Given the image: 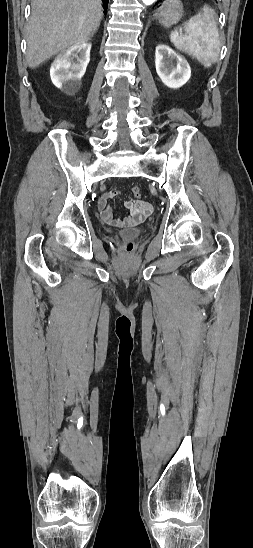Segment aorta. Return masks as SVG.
I'll return each instance as SVG.
<instances>
[{
  "label": "aorta",
  "instance_id": "762f6f07",
  "mask_svg": "<svg viewBox=\"0 0 253 548\" xmlns=\"http://www.w3.org/2000/svg\"><path fill=\"white\" fill-rule=\"evenodd\" d=\"M142 2H143L145 5L149 6V5H152V4H154L155 2H157V0H142Z\"/></svg>",
  "mask_w": 253,
  "mask_h": 548
}]
</instances>
